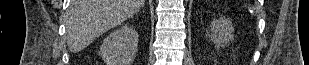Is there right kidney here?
I'll list each match as a JSON object with an SVG mask.
<instances>
[{"instance_id": "right-kidney-1", "label": "right kidney", "mask_w": 309, "mask_h": 65, "mask_svg": "<svg viewBox=\"0 0 309 65\" xmlns=\"http://www.w3.org/2000/svg\"><path fill=\"white\" fill-rule=\"evenodd\" d=\"M138 34L123 26L110 33L100 46V55L107 65H130L137 52Z\"/></svg>"}]
</instances>
